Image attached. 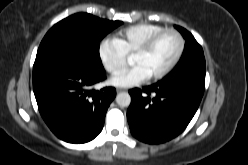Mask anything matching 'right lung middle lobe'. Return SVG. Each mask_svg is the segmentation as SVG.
I'll use <instances>...</instances> for the list:
<instances>
[{"label":"right lung middle lobe","instance_id":"1","mask_svg":"<svg viewBox=\"0 0 248 165\" xmlns=\"http://www.w3.org/2000/svg\"><path fill=\"white\" fill-rule=\"evenodd\" d=\"M121 24V21L100 19L88 13L71 15L47 32L36 58L71 49L82 53L95 69L104 70L99 55V43L105 35Z\"/></svg>","mask_w":248,"mask_h":165}]
</instances>
